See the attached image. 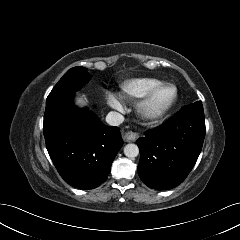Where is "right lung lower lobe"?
Wrapping results in <instances>:
<instances>
[{
	"mask_svg": "<svg viewBox=\"0 0 240 240\" xmlns=\"http://www.w3.org/2000/svg\"><path fill=\"white\" fill-rule=\"evenodd\" d=\"M73 95L46 102V147L65 182L80 189H94L106 181L123 140L118 127L104 125L87 108L78 109Z\"/></svg>",
	"mask_w": 240,
	"mask_h": 240,
	"instance_id": "right-lung-lower-lobe-1",
	"label": "right lung lower lobe"
}]
</instances>
